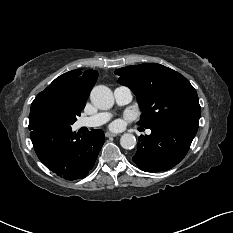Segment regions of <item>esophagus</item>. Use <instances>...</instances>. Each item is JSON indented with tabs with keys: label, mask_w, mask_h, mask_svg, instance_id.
<instances>
[{
	"label": "esophagus",
	"mask_w": 233,
	"mask_h": 233,
	"mask_svg": "<svg viewBox=\"0 0 233 233\" xmlns=\"http://www.w3.org/2000/svg\"><path fill=\"white\" fill-rule=\"evenodd\" d=\"M105 136L108 137V138H111V137H116L117 134L116 133H112V132H106Z\"/></svg>",
	"instance_id": "obj_1"
}]
</instances>
